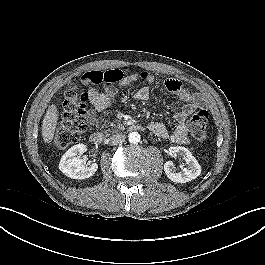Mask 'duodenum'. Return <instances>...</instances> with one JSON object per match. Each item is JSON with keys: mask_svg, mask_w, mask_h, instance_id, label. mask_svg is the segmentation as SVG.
Segmentation results:
<instances>
[{"mask_svg": "<svg viewBox=\"0 0 265 265\" xmlns=\"http://www.w3.org/2000/svg\"><path fill=\"white\" fill-rule=\"evenodd\" d=\"M133 130H142L143 127L139 124H135L131 127ZM90 141L94 144H103L105 141V136L98 131L92 132L90 134Z\"/></svg>", "mask_w": 265, "mask_h": 265, "instance_id": "obj_1", "label": "duodenum"}]
</instances>
